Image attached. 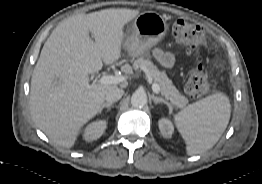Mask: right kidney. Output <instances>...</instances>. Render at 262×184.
Masks as SVG:
<instances>
[{
  "mask_svg": "<svg viewBox=\"0 0 262 184\" xmlns=\"http://www.w3.org/2000/svg\"><path fill=\"white\" fill-rule=\"evenodd\" d=\"M107 127L105 120H97L90 123L83 132V139L87 142L97 140L101 137Z\"/></svg>",
  "mask_w": 262,
  "mask_h": 184,
  "instance_id": "ca27d5eb",
  "label": "right kidney"
}]
</instances>
